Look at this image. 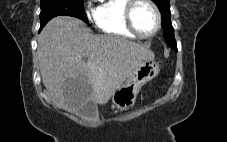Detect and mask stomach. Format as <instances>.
Segmentation results:
<instances>
[{"instance_id": "1", "label": "stomach", "mask_w": 227, "mask_h": 142, "mask_svg": "<svg viewBox=\"0 0 227 142\" xmlns=\"http://www.w3.org/2000/svg\"><path fill=\"white\" fill-rule=\"evenodd\" d=\"M159 66L154 61H143L134 70L128 80L112 95L114 106L120 109L132 107L141 87L156 77Z\"/></svg>"}]
</instances>
